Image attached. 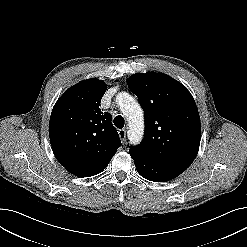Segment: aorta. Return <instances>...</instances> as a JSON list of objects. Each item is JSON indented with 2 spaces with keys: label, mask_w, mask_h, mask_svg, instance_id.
I'll return each mask as SVG.
<instances>
[{
  "label": "aorta",
  "mask_w": 247,
  "mask_h": 247,
  "mask_svg": "<svg viewBox=\"0 0 247 247\" xmlns=\"http://www.w3.org/2000/svg\"><path fill=\"white\" fill-rule=\"evenodd\" d=\"M117 102L121 111L127 117L129 125L128 134L131 143H139L144 132L143 111L140 105L126 92L118 94Z\"/></svg>",
  "instance_id": "762f6f07"
}]
</instances>
